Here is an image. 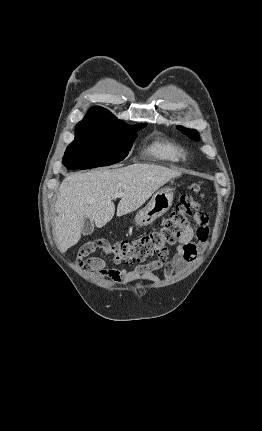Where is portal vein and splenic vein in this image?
<instances>
[{"instance_id":"obj_1","label":"portal vein and splenic vein","mask_w":262,"mask_h":431,"mask_svg":"<svg viewBox=\"0 0 262 431\" xmlns=\"http://www.w3.org/2000/svg\"><path fill=\"white\" fill-rule=\"evenodd\" d=\"M123 195H124V193H123V192L118 191V192H115V193H114L113 198H119V197H122Z\"/></svg>"}]
</instances>
